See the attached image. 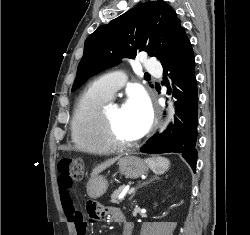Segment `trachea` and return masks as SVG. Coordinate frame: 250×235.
Returning <instances> with one entry per match:
<instances>
[{
  "mask_svg": "<svg viewBox=\"0 0 250 235\" xmlns=\"http://www.w3.org/2000/svg\"><path fill=\"white\" fill-rule=\"evenodd\" d=\"M146 76H147V77H150V75H149V74H147Z\"/></svg>",
  "mask_w": 250,
  "mask_h": 235,
  "instance_id": "1",
  "label": "trachea"
}]
</instances>
